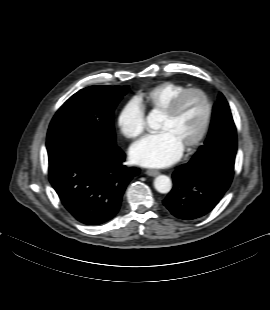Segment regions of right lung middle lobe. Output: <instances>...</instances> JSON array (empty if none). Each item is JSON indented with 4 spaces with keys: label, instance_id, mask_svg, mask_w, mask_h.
I'll return each instance as SVG.
<instances>
[{
    "label": "right lung middle lobe",
    "instance_id": "obj_1",
    "mask_svg": "<svg viewBox=\"0 0 270 310\" xmlns=\"http://www.w3.org/2000/svg\"><path fill=\"white\" fill-rule=\"evenodd\" d=\"M128 86H90L71 96L56 112L47 134L53 139L91 140L114 145V110Z\"/></svg>",
    "mask_w": 270,
    "mask_h": 310
}]
</instances>
